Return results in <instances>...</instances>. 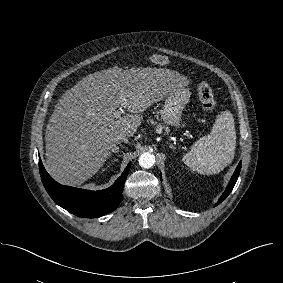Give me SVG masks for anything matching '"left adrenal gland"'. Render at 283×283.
<instances>
[{"instance_id": "1", "label": "left adrenal gland", "mask_w": 283, "mask_h": 283, "mask_svg": "<svg viewBox=\"0 0 283 283\" xmlns=\"http://www.w3.org/2000/svg\"><path fill=\"white\" fill-rule=\"evenodd\" d=\"M169 148L172 149V150H175V149H176V147H175L173 144H170V145H169Z\"/></svg>"}]
</instances>
